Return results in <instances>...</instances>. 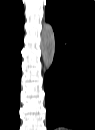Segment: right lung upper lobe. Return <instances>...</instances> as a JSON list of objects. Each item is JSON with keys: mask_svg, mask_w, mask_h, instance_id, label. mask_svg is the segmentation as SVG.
Segmentation results:
<instances>
[{"mask_svg": "<svg viewBox=\"0 0 95 130\" xmlns=\"http://www.w3.org/2000/svg\"><path fill=\"white\" fill-rule=\"evenodd\" d=\"M22 0H0V38L12 35L23 28Z\"/></svg>", "mask_w": 95, "mask_h": 130, "instance_id": "obj_1", "label": "right lung upper lobe"}]
</instances>
